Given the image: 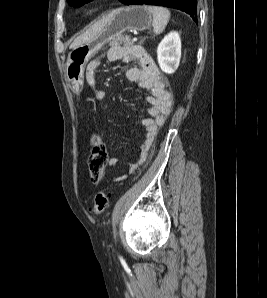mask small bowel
I'll return each instance as SVG.
<instances>
[{
  "instance_id": "small-bowel-1",
  "label": "small bowel",
  "mask_w": 267,
  "mask_h": 298,
  "mask_svg": "<svg viewBox=\"0 0 267 298\" xmlns=\"http://www.w3.org/2000/svg\"><path fill=\"white\" fill-rule=\"evenodd\" d=\"M107 58L110 62L138 63V66L125 70V77L127 80L150 91V95L147 97L149 104L148 116L142 122L146 134L140 147L139 162L143 163L147 159L159 128L164 124L166 117L172 109L173 99L167 89V81L152 57L140 46H113L108 50ZM99 65V59L91 61L87 66L85 78L94 93L95 99L103 100L106 97V92L97 88V70ZM116 163L117 159L115 158L109 160L111 166ZM135 166L136 164H131L129 169H133ZM124 178L125 175H122L117 180H123Z\"/></svg>"
}]
</instances>
